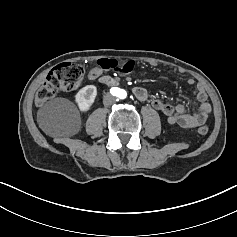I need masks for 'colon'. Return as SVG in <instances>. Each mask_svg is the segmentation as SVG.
<instances>
[{"instance_id": "5ec220e1", "label": "colon", "mask_w": 237, "mask_h": 237, "mask_svg": "<svg viewBox=\"0 0 237 237\" xmlns=\"http://www.w3.org/2000/svg\"><path fill=\"white\" fill-rule=\"evenodd\" d=\"M102 70L112 71L118 75L129 74L134 70V61L119 62L115 59H100L97 62ZM84 77V69L77 64L62 63L55 66L47 76L45 82L39 87L36 93L37 105H43L52 99L57 91L75 90ZM198 133L205 135L208 132L206 125H200L197 129Z\"/></svg>"}]
</instances>
